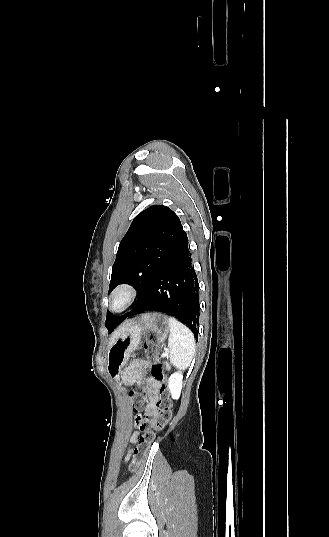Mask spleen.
Listing matches in <instances>:
<instances>
[{
  "instance_id": "obj_1",
  "label": "spleen",
  "mask_w": 329,
  "mask_h": 537,
  "mask_svg": "<svg viewBox=\"0 0 329 537\" xmlns=\"http://www.w3.org/2000/svg\"><path fill=\"white\" fill-rule=\"evenodd\" d=\"M170 361L178 369L189 367L195 353L196 344L192 332L177 319L169 318Z\"/></svg>"
}]
</instances>
